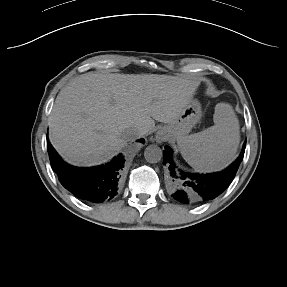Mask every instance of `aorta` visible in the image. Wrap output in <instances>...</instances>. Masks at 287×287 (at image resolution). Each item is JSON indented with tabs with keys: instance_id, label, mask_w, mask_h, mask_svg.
Segmentation results:
<instances>
[{
	"instance_id": "1",
	"label": "aorta",
	"mask_w": 287,
	"mask_h": 287,
	"mask_svg": "<svg viewBox=\"0 0 287 287\" xmlns=\"http://www.w3.org/2000/svg\"><path fill=\"white\" fill-rule=\"evenodd\" d=\"M145 160L149 163H157L163 157L161 148L157 145H149L144 151Z\"/></svg>"
}]
</instances>
